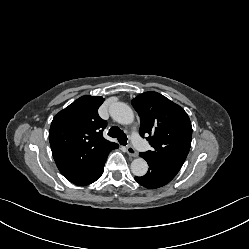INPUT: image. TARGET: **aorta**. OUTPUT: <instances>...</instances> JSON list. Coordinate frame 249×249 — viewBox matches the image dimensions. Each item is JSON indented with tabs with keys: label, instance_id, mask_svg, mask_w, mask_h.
<instances>
[{
	"label": "aorta",
	"instance_id": "aorta-1",
	"mask_svg": "<svg viewBox=\"0 0 249 249\" xmlns=\"http://www.w3.org/2000/svg\"><path fill=\"white\" fill-rule=\"evenodd\" d=\"M110 114L112 118L123 125H128L134 121V113L130 106L123 102L115 103ZM148 171V164L143 158H136L131 163V172L138 177L144 176Z\"/></svg>",
	"mask_w": 249,
	"mask_h": 249
}]
</instances>
